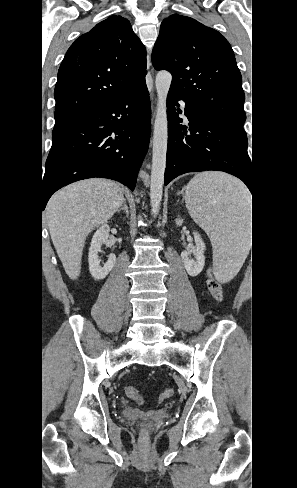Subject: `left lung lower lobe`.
Listing matches in <instances>:
<instances>
[{
	"label": "left lung lower lobe",
	"mask_w": 297,
	"mask_h": 488,
	"mask_svg": "<svg viewBox=\"0 0 297 488\" xmlns=\"http://www.w3.org/2000/svg\"><path fill=\"white\" fill-rule=\"evenodd\" d=\"M179 100L183 99L169 90L165 185L187 172L218 170L238 177L253 193V170L245 131L201 114L184 100L190 123L183 126L178 117L182 113L177 108Z\"/></svg>",
	"instance_id": "left-lung-lower-lobe-1"
}]
</instances>
